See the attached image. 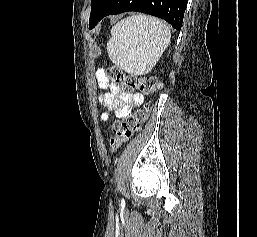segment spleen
<instances>
[{
    "label": "spleen",
    "instance_id": "obj_1",
    "mask_svg": "<svg viewBox=\"0 0 257 237\" xmlns=\"http://www.w3.org/2000/svg\"><path fill=\"white\" fill-rule=\"evenodd\" d=\"M107 43L111 61L132 75L148 73L167 48L171 32L167 24L146 15H134L111 29Z\"/></svg>",
    "mask_w": 257,
    "mask_h": 237
}]
</instances>
